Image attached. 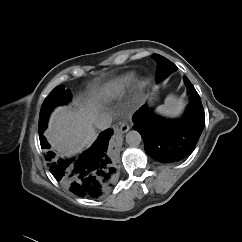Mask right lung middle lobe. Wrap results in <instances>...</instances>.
<instances>
[{
	"label": "right lung middle lobe",
	"instance_id": "obj_1",
	"mask_svg": "<svg viewBox=\"0 0 242 242\" xmlns=\"http://www.w3.org/2000/svg\"><path fill=\"white\" fill-rule=\"evenodd\" d=\"M69 90H65L64 85L57 86L44 100L39 116V134L46 128L50 112L58 105L66 104L70 100Z\"/></svg>",
	"mask_w": 242,
	"mask_h": 242
}]
</instances>
